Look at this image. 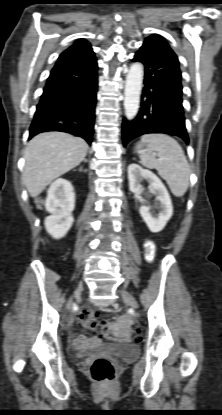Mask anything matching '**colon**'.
Returning a JSON list of instances; mask_svg holds the SVG:
<instances>
[{
  "instance_id": "1",
  "label": "colon",
  "mask_w": 222,
  "mask_h": 415,
  "mask_svg": "<svg viewBox=\"0 0 222 415\" xmlns=\"http://www.w3.org/2000/svg\"><path fill=\"white\" fill-rule=\"evenodd\" d=\"M79 324L82 329H87L96 335H104L111 340H129L140 338L138 328L126 329L121 322H107L100 314L90 310H83L79 315ZM114 366L106 358L95 359L90 366V373L97 381H109L114 376Z\"/></svg>"
}]
</instances>
